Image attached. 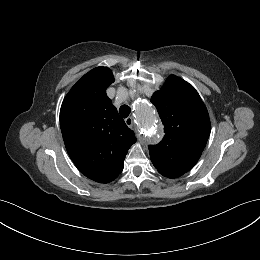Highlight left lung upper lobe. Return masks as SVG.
<instances>
[{
    "mask_svg": "<svg viewBox=\"0 0 260 260\" xmlns=\"http://www.w3.org/2000/svg\"><path fill=\"white\" fill-rule=\"evenodd\" d=\"M151 102L164 124L165 136L150 145V158L158 172L177 178L199 160L210 135L208 111L198 92L188 82L170 75Z\"/></svg>",
    "mask_w": 260,
    "mask_h": 260,
    "instance_id": "1",
    "label": "left lung upper lobe"
}]
</instances>
